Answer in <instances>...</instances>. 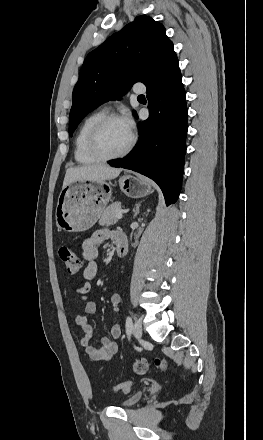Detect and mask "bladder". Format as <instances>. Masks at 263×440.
Segmentation results:
<instances>
[{"label":"bladder","mask_w":263,"mask_h":440,"mask_svg":"<svg viewBox=\"0 0 263 440\" xmlns=\"http://www.w3.org/2000/svg\"><path fill=\"white\" fill-rule=\"evenodd\" d=\"M141 397H142V392H136L134 394L127 396L119 405L122 408L132 407L139 402Z\"/></svg>","instance_id":"31cf9c89"}]
</instances>
